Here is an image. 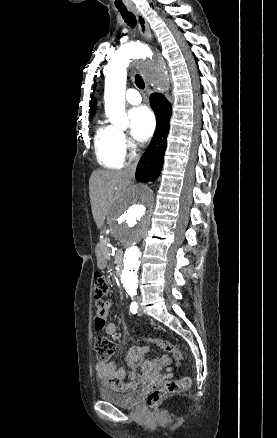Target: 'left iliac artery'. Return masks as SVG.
I'll use <instances>...</instances> for the list:
<instances>
[{"label": "left iliac artery", "mask_w": 277, "mask_h": 438, "mask_svg": "<svg viewBox=\"0 0 277 438\" xmlns=\"http://www.w3.org/2000/svg\"><path fill=\"white\" fill-rule=\"evenodd\" d=\"M137 310H138V304H137V302L136 301H132V303H131V305H130V311L133 313V314H135V313H137Z\"/></svg>", "instance_id": "left-iliac-artery-1"}]
</instances>
